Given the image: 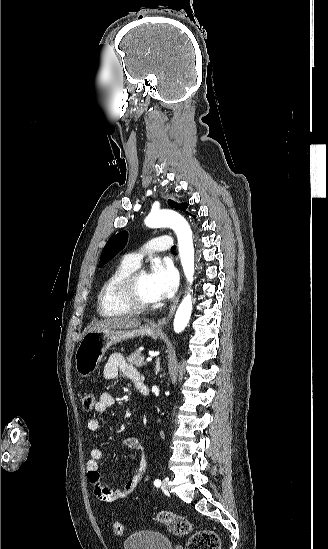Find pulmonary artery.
I'll list each match as a JSON object with an SVG mask.
<instances>
[{"label":"pulmonary artery","instance_id":"1","mask_svg":"<svg viewBox=\"0 0 328 549\" xmlns=\"http://www.w3.org/2000/svg\"><path fill=\"white\" fill-rule=\"evenodd\" d=\"M174 245V240L172 237H153L151 241L146 242L143 246H137L134 250V253L130 254L131 258L135 262H140L142 257H144L149 252H164L166 248H172Z\"/></svg>","mask_w":328,"mask_h":549}]
</instances>
